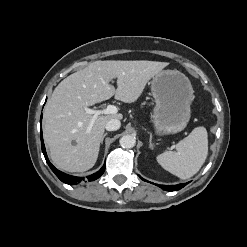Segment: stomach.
<instances>
[{
    "instance_id": "obj_1",
    "label": "stomach",
    "mask_w": 247,
    "mask_h": 247,
    "mask_svg": "<svg viewBox=\"0 0 247 247\" xmlns=\"http://www.w3.org/2000/svg\"><path fill=\"white\" fill-rule=\"evenodd\" d=\"M151 91L155 100L153 124L160 135L182 131L191 117L193 88L178 70H162L153 77Z\"/></svg>"
}]
</instances>
